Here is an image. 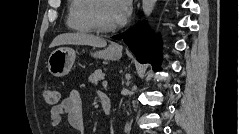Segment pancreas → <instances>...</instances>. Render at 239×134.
Listing matches in <instances>:
<instances>
[{
    "mask_svg": "<svg viewBox=\"0 0 239 134\" xmlns=\"http://www.w3.org/2000/svg\"><path fill=\"white\" fill-rule=\"evenodd\" d=\"M104 76L105 74L102 72V70L97 69L95 72L91 73V75L88 77V81L96 85L104 78Z\"/></svg>",
    "mask_w": 239,
    "mask_h": 134,
    "instance_id": "cf45deb5",
    "label": "pancreas"
}]
</instances>
